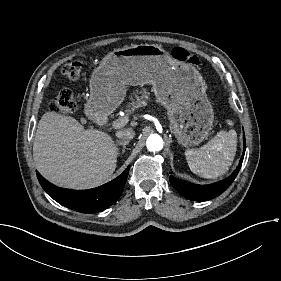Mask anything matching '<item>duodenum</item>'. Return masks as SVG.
Here are the masks:
<instances>
[{
  "label": "duodenum",
  "instance_id": "obj_1",
  "mask_svg": "<svg viewBox=\"0 0 281 281\" xmlns=\"http://www.w3.org/2000/svg\"><path fill=\"white\" fill-rule=\"evenodd\" d=\"M96 123L100 126V127H107L110 124V117L107 114H100L97 118H96Z\"/></svg>",
  "mask_w": 281,
  "mask_h": 281
}]
</instances>
